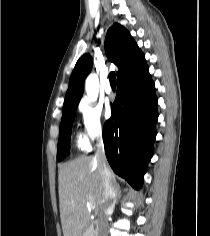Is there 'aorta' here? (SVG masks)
Returning <instances> with one entry per match:
<instances>
[{
	"mask_svg": "<svg viewBox=\"0 0 210 236\" xmlns=\"http://www.w3.org/2000/svg\"><path fill=\"white\" fill-rule=\"evenodd\" d=\"M85 90L88 98L91 101H95L98 98L99 92V80L98 76L94 73H91L85 81Z\"/></svg>",
	"mask_w": 210,
	"mask_h": 236,
	"instance_id": "obj_1",
	"label": "aorta"
}]
</instances>
